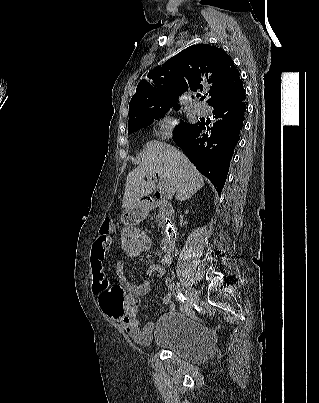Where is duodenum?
Segmentation results:
<instances>
[{"label":"duodenum","mask_w":319,"mask_h":403,"mask_svg":"<svg viewBox=\"0 0 319 403\" xmlns=\"http://www.w3.org/2000/svg\"><path fill=\"white\" fill-rule=\"evenodd\" d=\"M155 208L161 209L166 219V226L164 229V236L161 241V248L167 252L173 251L176 245L178 229L171 221L173 216V208L166 200L164 194L161 191H156L151 197L143 198L137 207V211L138 214L144 215L146 212Z\"/></svg>","instance_id":"410a0bca"}]
</instances>
